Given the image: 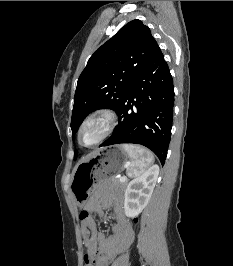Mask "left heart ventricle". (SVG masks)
<instances>
[{
    "label": "left heart ventricle",
    "instance_id": "1",
    "mask_svg": "<svg viewBox=\"0 0 233 266\" xmlns=\"http://www.w3.org/2000/svg\"><path fill=\"white\" fill-rule=\"evenodd\" d=\"M104 129L103 120H95L87 124L81 134L83 143L91 144L93 143L102 133Z\"/></svg>",
    "mask_w": 233,
    "mask_h": 266
}]
</instances>
